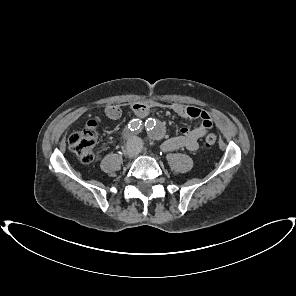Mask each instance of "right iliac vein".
<instances>
[{
    "label": "right iliac vein",
    "mask_w": 296,
    "mask_h": 296,
    "mask_svg": "<svg viewBox=\"0 0 296 296\" xmlns=\"http://www.w3.org/2000/svg\"><path fill=\"white\" fill-rule=\"evenodd\" d=\"M124 155L128 158H133L136 155V148L133 143H128L125 150Z\"/></svg>",
    "instance_id": "obj_1"
}]
</instances>
